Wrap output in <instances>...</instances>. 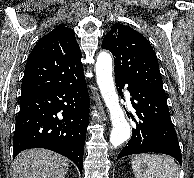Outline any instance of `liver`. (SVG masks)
<instances>
[{"label":"liver","instance_id":"6515ba94","mask_svg":"<svg viewBox=\"0 0 194 178\" xmlns=\"http://www.w3.org/2000/svg\"><path fill=\"white\" fill-rule=\"evenodd\" d=\"M69 160L47 149L21 152L13 162V178H64Z\"/></svg>","mask_w":194,"mask_h":178}]
</instances>
